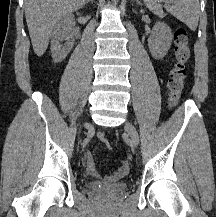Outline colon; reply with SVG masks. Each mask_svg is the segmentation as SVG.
Instances as JSON below:
<instances>
[{"label": "colon", "mask_w": 216, "mask_h": 217, "mask_svg": "<svg viewBox=\"0 0 216 217\" xmlns=\"http://www.w3.org/2000/svg\"><path fill=\"white\" fill-rule=\"evenodd\" d=\"M189 42L187 30L183 27L177 28L174 32L176 62L170 71L168 80L169 101L171 105H175L179 101L187 78V63L190 58ZM97 138L103 146H110V140L105 132H98ZM123 173L124 169L119 168L117 174L122 175Z\"/></svg>", "instance_id": "1"}]
</instances>
